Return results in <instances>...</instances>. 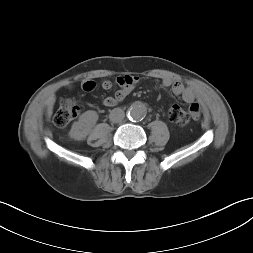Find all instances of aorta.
Here are the masks:
<instances>
[{
    "instance_id": "1",
    "label": "aorta",
    "mask_w": 253,
    "mask_h": 253,
    "mask_svg": "<svg viewBox=\"0 0 253 253\" xmlns=\"http://www.w3.org/2000/svg\"><path fill=\"white\" fill-rule=\"evenodd\" d=\"M146 109L141 105H132L128 110V117L131 120L139 121L145 118Z\"/></svg>"
}]
</instances>
